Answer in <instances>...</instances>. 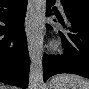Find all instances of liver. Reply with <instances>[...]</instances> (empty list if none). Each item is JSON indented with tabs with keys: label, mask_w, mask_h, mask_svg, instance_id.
<instances>
[{
	"label": "liver",
	"mask_w": 89,
	"mask_h": 89,
	"mask_svg": "<svg viewBox=\"0 0 89 89\" xmlns=\"http://www.w3.org/2000/svg\"><path fill=\"white\" fill-rule=\"evenodd\" d=\"M3 88L2 89H7L6 87L2 86Z\"/></svg>",
	"instance_id": "6515ba94"
}]
</instances>
